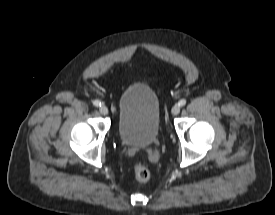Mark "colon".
<instances>
[{"instance_id":"1","label":"colon","mask_w":275,"mask_h":215,"mask_svg":"<svg viewBox=\"0 0 275 215\" xmlns=\"http://www.w3.org/2000/svg\"><path fill=\"white\" fill-rule=\"evenodd\" d=\"M134 174H135L136 179L141 182H145V181L149 180V178L151 176L150 170L146 166H144L140 163H136L134 165Z\"/></svg>"}]
</instances>
